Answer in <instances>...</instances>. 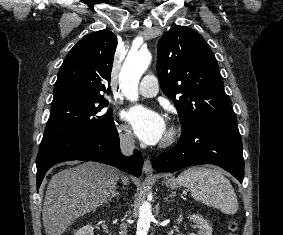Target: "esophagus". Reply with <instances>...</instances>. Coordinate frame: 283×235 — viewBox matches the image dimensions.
<instances>
[{"label": "esophagus", "mask_w": 283, "mask_h": 235, "mask_svg": "<svg viewBox=\"0 0 283 235\" xmlns=\"http://www.w3.org/2000/svg\"><path fill=\"white\" fill-rule=\"evenodd\" d=\"M143 172L146 175H153V167L149 158H146L144 161Z\"/></svg>", "instance_id": "1"}]
</instances>
